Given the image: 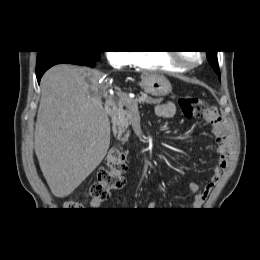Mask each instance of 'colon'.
Instances as JSON below:
<instances>
[{
    "label": "colon",
    "mask_w": 260,
    "mask_h": 260,
    "mask_svg": "<svg viewBox=\"0 0 260 260\" xmlns=\"http://www.w3.org/2000/svg\"><path fill=\"white\" fill-rule=\"evenodd\" d=\"M178 105L182 114L187 118H203L206 114L216 115V110L196 97H180ZM127 159L119 152L108 154L105 165L98 173L97 179L87 189V196L95 199H106L110 191L124 186V173L127 170ZM68 210H83L81 202L69 200L64 203Z\"/></svg>",
    "instance_id": "colon-1"
}]
</instances>
